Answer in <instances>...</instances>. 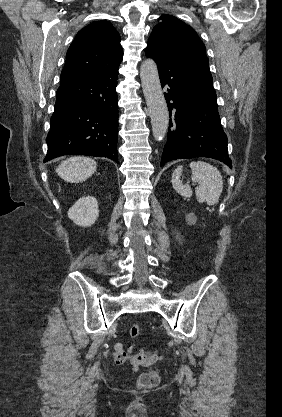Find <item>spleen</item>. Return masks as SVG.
I'll return each instance as SVG.
<instances>
[{
	"label": "spleen",
	"instance_id": "obj_1",
	"mask_svg": "<svg viewBox=\"0 0 282 417\" xmlns=\"http://www.w3.org/2000/svg\"><path fill=\"white\" fill-rule=\"evenodd\" d=\"M192 168V180L199 182V186L195 188V194L198 202H207V204H216L221 196L223 190V178L216 166L204 162V160H197V162H190ZM183 166H177L172 174V184L178 194L190 198L192 196V188L189 184H183L180 180Z\"/></svg>",
	"mask_w": 282,
	"mask_h": 417
}]
</instances>
